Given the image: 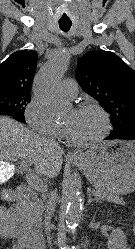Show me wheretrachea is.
I'll return each mask as SVG.
<instances>
[{
  "label": "trachea",
  "mask_w": 135,
  "mask_h": 249,
  "mask_svg": "<svg viewBox=\"0 0 135 249\" xmlns=\"http://www.w3.org/2000/svg\"><path fill=\"white\" fill-rule=\"evenodd\" d=\"M71 22H59V27L63 32H68L71 28Z\"/></svg>",
  "instance_id": "3493384b"
}]
</instances>
